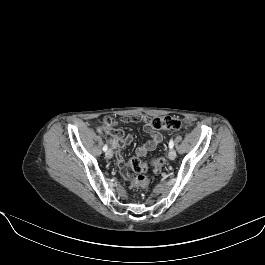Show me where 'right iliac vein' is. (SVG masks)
Returning a JSON list of instances; mask_svg holds the SVG:
<instances>
[{
	"label": "right iliac vein",
	"instance_id": "63e3f726",
	"mask_svg": "<svg viewBox=\"0 0 265 265\" xmlns=\"http://www.w3.org/2000/svg\"><path fill=\"white\" fill-rule=\"evenodd\" d=\"M106 157L108 158V159H110V158H112L113 157V151L111 150V149H109V150H107L106 151Z\"/></svg>",
	"mask_w": 265,
	"mask_h": 265
}]
</instances>
